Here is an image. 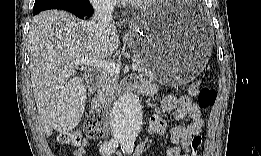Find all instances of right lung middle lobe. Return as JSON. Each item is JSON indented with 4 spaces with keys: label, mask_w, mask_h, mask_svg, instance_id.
I'll return each instance as SVG.
<instances>
[{
    "label": "right lung middle lobe",
    "mask_w": 261,
    "mask_h": 156,
    "mask_svg": "<svg viewBox=\"0 0 261 156\" xmlns=\"http://www.w3.org/2000/svg\"><path fill=\"white\" fill-rule=\"evenodd\" d=\"M74 0H36L34 11L52 9L60 6L71 5Z\"/></svg>",
    "instance_id": "1"
}]
</instances>
